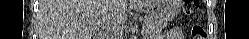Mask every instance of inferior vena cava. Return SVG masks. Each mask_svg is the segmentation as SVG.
Here are the masks:
<instances>
[{
  "instance_id": "inferior-vena-cava-1",
  "label": "inferior vena cava",
  "mask_w": 249,
  "mask_h": 39,
  "mask_svg": "<svg viewBox=\"0 0 249 39\" xmlns=\"http://www.w3.org/2000/svg\"><path fill=\"white\" fill-rule=\"evenodd\" d=\"M109 33H110L111 38H114V37H116V36H117V32H116V30H115V29H111V30H109Z\"/></svg>"
}]
</instances>
